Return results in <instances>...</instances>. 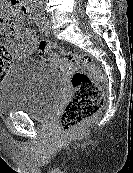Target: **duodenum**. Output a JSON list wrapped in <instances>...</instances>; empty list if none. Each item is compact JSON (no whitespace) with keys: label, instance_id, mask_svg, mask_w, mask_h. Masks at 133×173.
<instances>
[{"label":"duodenum","instance_id":"1","mask_svg":"<svg viewBox=\"0 0 133 173\" xmlns=\"http://www.w3.org/2000/svg\"><path fill=\"white\" fill-rule=\"evenodd\" d=\"M13 4L19 5L22 13L25 16H30L32 14V10L28 0H12Z\"/></svg>","mask_w":133,"mask_h":173}]
</instances>
